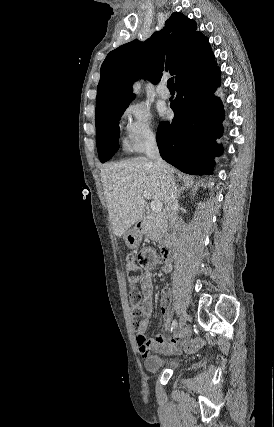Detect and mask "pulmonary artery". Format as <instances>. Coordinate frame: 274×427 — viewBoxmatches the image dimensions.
Returning a JSON list of instances; mask_svg holds the SVG:
<instances>
[{"instance_id": "e3ab8cb5", "label": "pulmonary artery", "mask_w": 274, "mask_h": 427, "mask_svg": "<svg viewBox=\"0 0 274 427\" xmlns=\"http://www.w3.org/2000/svg\"><path fill=\"white\" fill-rule=\"evenodd\" d=\"M157 94L163 100H167L170 97V90L168 89V87H167V85H166L165 82H162L157 87Z\"/></svg>"}]
</instances>
